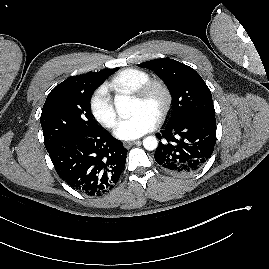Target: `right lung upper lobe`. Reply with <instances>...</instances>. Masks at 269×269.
Returning a JSON list of instances; mask_svg holds the SVG:
<instances>
[{"mask_svg": "<svg viewBox=\"0 0 269 269\" xmlns=\"http://www.w3.org/2000/svg\"><path fill=\"white\" fill-rule=\"evenodd\" d=\"M102 71L104 72V71H109V70H102ZM91 74L92 73L90 72V73L80 75V76H73V77H70V78H68V79H66L64 81H72V80L84 79V78L88 77Z\"/></svg>", "mask_w": 269, "mask_h": 269, "instance_id": "1", "label": "right lung upper lobe"}]
</instances>
